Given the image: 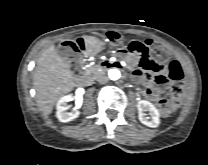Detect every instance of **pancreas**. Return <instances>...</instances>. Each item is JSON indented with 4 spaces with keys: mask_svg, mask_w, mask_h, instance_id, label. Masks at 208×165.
I'll list each match as a JSON object with an SVG mask.
<instances>
[{
    "mask_svg": "<svg viewBox=\"0 0 208 165\" xmlns=\"http://www.w3.org/2000/svg\"><path fill=\"white\" fill-rule=\"evenodd\" d=\"M85 73L87 75H92V76H95L97 73H98V68L97 67H88L85 71Z\"/></svg>",
    "mask_w": 208,
    "mask_h": 165,
    "instance_id": "obj_1",
    "label": "pancreas"
}]
</instances>
